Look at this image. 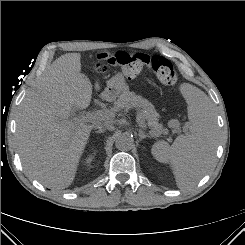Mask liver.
Wrapping results in <instances>:
<instances>
[{
    "mask_svg": "<svg viewBox=\"0 0 245 245\" xmlns=\"http://www.w3.org/2000/svg\"><path fill=\"white\" fill-rule=\"evenodd\" d=\"M80 53L56 59L26 95L17 115L16 145L25 170L48 188L64 189L75 178L80 157L94 125L70 119L85 109L93 85L81 73ZM95 89L100 90L96 80Z\"/></svg>",
    "mask_w": 245,
    "mask_h": 245,
    "instance_id": "1",
    "label": "liver"
}]
</instances>
